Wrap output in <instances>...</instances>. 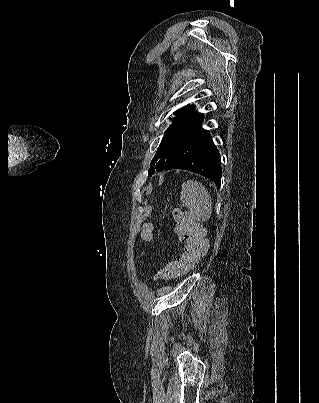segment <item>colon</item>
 I'll use <instances>...</instances> for the list:
<instances>
[{
    "label": "colon",
    "instance_id": "obj_1",
    "mask_svg": "<svg viewBox=\"0 0 319 403\" xmlns=\"http://www.w3.org/2000/svg\"><path fill=\"white\" fill-rule=\"evenodd\" d=\"M177 225L176 234L182 244V250L176 260L156 273L153 280H168L177 277L192 269L194 265L206 254L208 241L204 237V230L194 220L186 218L181 213L175 215ZM145 234L140 235L141 243H154L155 235L150 234L153 224H146Z\"/></svg>",
    "mask_w": 319,
    "mask_h": 403
}]
</instances>
